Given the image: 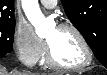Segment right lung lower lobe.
I'll list each match as a JSON object with an SVG mask.
<instances>
[{"mask_svg":"<svg viewBox=\"0 0 107 75\" xmlns=\"http://www.w3.org/2000/svg\"><path fill=\"white\" fill-rule=\"evenodd\" d=\"M6 54H8V53H3V52H0V57L5 56Z\"/></svg>","mask_w":107,"mask_h":75,"instance_id":"right-lung-lower-lobe-1","label":"right lung lower lobe"}]
</instances>
